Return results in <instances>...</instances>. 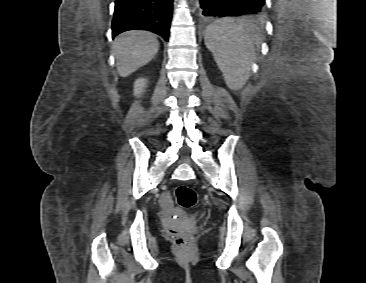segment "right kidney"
<instances>
[{"mask_svg":"<svg viewBox=\"0 0 366 283\" xmlns=\"http://www.w3.org/2000/svg\"><path fill=\"white\" fill-rule=\"evenodd\" d=\"M147 80L139 78L134 83V95L140 96L146 87Z\"/></svg>","mask_w":366,"mask_h":283,"instance_id":"obj_1","label":"right kidney"}]
</instances>
